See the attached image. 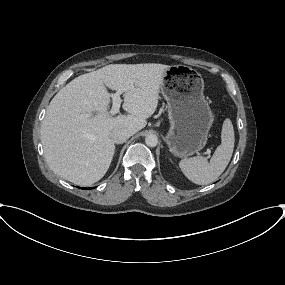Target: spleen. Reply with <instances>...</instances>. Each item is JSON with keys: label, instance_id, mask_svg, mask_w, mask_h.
<instances>
[{"label": "spleen", "instance_id": "spleen-1", "mask_svg": "<svg viewBox=\"0 0 285 285\" xmlns=\"http://www.w3.org/2000/svg\"><path fill=\"white\" fill-rule=\"evenodd\" d=\"M234 129L230 119H225L221 132V144L216 148L210 162L205 157L184 158L179 167L193 183L207 185L215 181L226 169L234 149Z\"/></svg>", "mask_w": 285, "mask_h": 285}]
</instances>
